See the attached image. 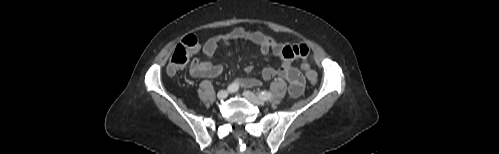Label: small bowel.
<instances>
[{"mask_svg":"<svg viewBox=\"0 0 499 154\" xmlns=\"http://www.w3.org/2000/svg\"><path fill=\"white\" fill-rule=\"evenodd\" d=\"M238 40L250 41L259 47L263 55L273 53L277 56L281 65L279 68L266 66L262 69L263 80H271L279 77L289 84V94L293 98H297L303 92L305 79L301 72L293 65L294 61L301 58H306L310 54V49L306 44H285L277 41L273 37L254 30L251 27H238L231 32L210 38L203 45V59H194L190 66V75L194 78H215L221 75L223 67L214 65L212 57L216 50L221 47L232 44ZM251 65L245 68L246 72H251ZM240 87H258L262 85V81L255 78L240 79L237 81Z\"/></svg>","mask_w":499,"mask_h":154,"instance_id":"small-bowel-1","label":"small bowel"}]
</instances>
